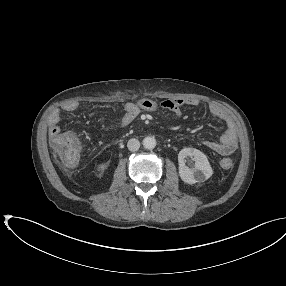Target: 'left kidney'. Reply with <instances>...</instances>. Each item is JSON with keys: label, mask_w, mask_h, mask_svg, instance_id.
<instances>
[{"label": "left kidney", "mask_w": 286, "mask_h": 286, "mask_svg": "<svg viewBox=\"0 0 286 286\" xmlns=\"http://www.w3.org/2000/svg\"><path fill=\"white\" fill-rule=\"evenodd\" d=\"M191 157L195 161L194 168L186 166V158ZM179 175L183 182L195 184L209 179L213 170L207 156L198 149L184 148L178 154Z\"/></svg>", "instance_id": "5707ae66"}]
</instances>
